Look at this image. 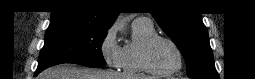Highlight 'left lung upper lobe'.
<instances>
[{"label": "left lung upper lobe", "mask_w": 255, "mask_h": 79, "mask_svg": "<svg viewBox=\"0 0 255 79\" xmlns=\"http://www.w3.org/2000/svg\"><path fill=\"white\" fill-rule=\"evenodd\" d=\"M152 2L157 9L151 14L183 54L188 66V76L204 79L218 76L201 14L172 11L170 8L174 1L170 0Z\"/></svg>", "instance_id": "1"}]
</instances>
